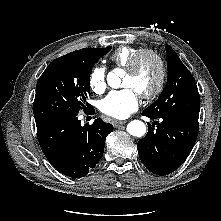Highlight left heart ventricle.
I'll list each match as a JSON object with an SVG mask.
<instances>
[{
	"label": "left heart ventricle",
	"instance_id": "obj_1",
	"mask_svg": "<svg viewBox=\"0 0 221 221\" xmlns=\"http://www.w3.org/2000/svg\"><path fill=\"white\" fill-rule=\"evenodd\" d=\"M160 71L157 62L151 56H144L134 74L126 72L123 87H131L139 95L151 92L157 85Z\"/></svg>",
	"mask_w": 221,
	"mask_h": 221
}]
</instances>
